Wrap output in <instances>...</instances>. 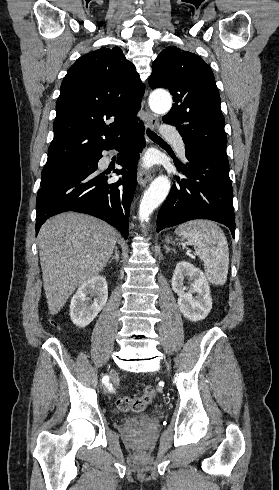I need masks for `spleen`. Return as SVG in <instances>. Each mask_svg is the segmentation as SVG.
I'll return each instance as SVG.
<instances>
[{"mask_svg": "<svg viewBox=\"0 0 279 490\" xmlns=\"http://www.w3.org/2000/svg\"><path fill=\"white\" fill-rule=\"evenodd\" d=\"M177 236L194 246L204 262L205 276L214 286H223L228 276L229 248L224 232L210 220H193L176 228Z\"/></svg>", "mask_w": 279, "mask_h": 490, "instance_id": "obj_1", "label": "spleen"}]
</instances>
